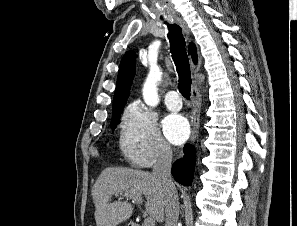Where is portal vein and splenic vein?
<instances>
[{
	"label": "portal vein and splenic vein",
	"instance_id": "18ae733b",
	"mask_svg": "<svg viewBox=\"0 0 297 226\" xmlns=\"http://www.w3.org/2000/svg\"><path fill=\"white\" fill-rule=\"evenodd\" d=\"M133 202H136L138 204H142V198L141 197H130ZM144 225L145 226H154L155 225V220L153 217H148L144 219Z\"/></svg>",
	"mask_w": 297,
	"mask_h": 226
}]
</instances>
